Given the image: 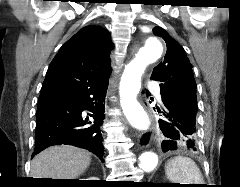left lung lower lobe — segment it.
I'll use <instances>...</instances> for the list:
<instances>
[{"mask_svg": "<svg viewBox=\"0 0 240 187\" xmlns=\"http://www.w3.org/2000/svg\"><path fill=\"white\" fill-rule=\"evenodd\" d=\"M149 96V91L146 90ZM163 107H157L158 113L163 114L159 127L168 140L162 142V151L168 152L182 147L190 152L197 150L196 142V113L197 110L182 102L162 95ZM155 109V108H154Z\"/></svg>", "mask_w": 240, "mask_h": 187, "instance_id": "obj_1", "label": "left lung lower lobe"}]
</instances>
